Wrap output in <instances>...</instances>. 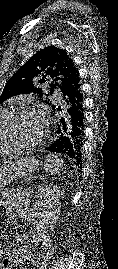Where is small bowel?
I'll list each match as a JSON object with an SVG mask.
<instances>
[{
    "label": "small bowel",
    "instance_id": "1",
    "mask_svg": "<svg viewBox=\"0 0 118 269\" xmlns=\"http://www.w3.org/2000/svg\"><path fill=\"white\" fill-rule=\"evenodd\" d=\"M6 217L8 219L15 218L18 214H27L29 205V196L24 195L21 197H10L7 202ZM25 239L31 240L34 244L40 246L45 250L48 242V236L39 227H36L33 231L24 235H17L15 241L17 243L23 242ZM0 256L4 257V260L0 264V269H10L15 264L24 263L29 259V251L26 246L19 247L18 249H9L0 242Z\"/></svg>",
    "mask_w": 118,
    "mask_h": 269
}]
</instances>
